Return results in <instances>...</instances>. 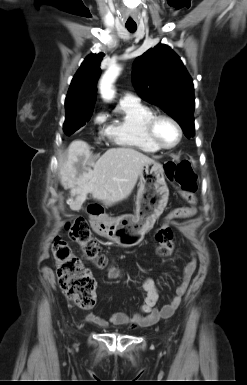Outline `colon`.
<instances>
[{
  "label": "colon",
  "instance_id": "obj_1",
  "mask_svg": "<svg viewBox=\"0 0 247 385\" xmlns=\"http://www.w3.org/2000/svg\"><path fill=\"white\" fill-rule=\"evenodd\" d=\"M166 177L173 182L182 196L190 203L194 202L197 190L196 173L190 161L180 163L168 161L164 164ZM181 208L171 211L165 222L158 228L155 239L158 243L157 254L169 256L174 250V236L171 222L181 218ZM66 231L74 242L78 243L86 260L98 269L108 265L106 256L94 240L88 223L83 218H76L66 224ZM53 256L57 268V279L65 296L82 309H91L96 302V281L90 271L84 267L82 260L76 256L69 245L57 238L53 244Z\"/></svg>",
  "mask_w": 247,
  "mask_h": 385
}]
</instances>
